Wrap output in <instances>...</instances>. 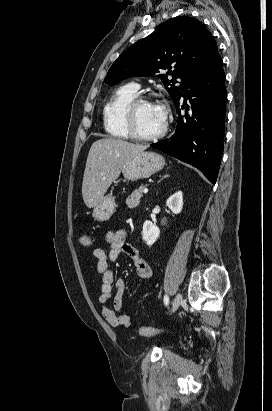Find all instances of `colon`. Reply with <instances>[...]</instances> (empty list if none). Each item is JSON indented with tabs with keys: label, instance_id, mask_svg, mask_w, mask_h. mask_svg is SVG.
I'll list each match as a JSON object with an SVG mask.
<instances>
[{
	"label": "colon",
	"instance_id": "obj_1",
	"mask_svg": "<svg viewBox=\"0 0 272 411\" xmlns=\"http://www.w3.org/2000/svg\"><path fill=\"white\" fill-rule=\"evenodd\" d=\"M80 244L83 247L91 245V238L88 235H82L80 237ZM166 331L158 327L141 326L139 328V334L143 337H153L164 334Z\"/></svg>",
	"mask_w": 272,
	"mask_h": 411
}]
</instances>
